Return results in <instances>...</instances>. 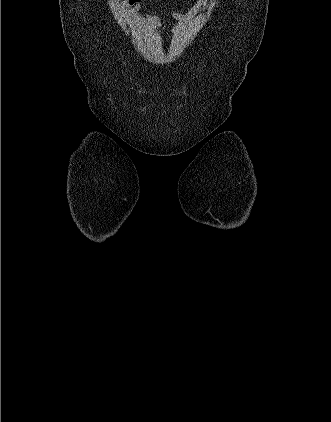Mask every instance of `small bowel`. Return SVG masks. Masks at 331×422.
Listing matches in <instances>:
<instances>
[{
	"instance_id": "c3829d8e",
	"label": "small bowel",
	"mask_w": 331,
	"mask_h": 422,
	"mask_svg": "<svg viewBox=\"0 0 331 422\" xmlns=\"http://www.w3.org/2000/svg\"><path fill=\"white\" fill-rule=\"evenodd\" d=\"M120 2L124 5L131 7L130 13H132V14H135V13H138L139 11H141L143 9L144 5H145L143 0H120ZM171 14L175 19H177L179 21H185L186 20V15L181 13V12L171 10ZM146 16H147L149 23L153 26V28H164L165 27V25L163 23H161L158 16L152 10H148L147 13H146Z\"/></svg>"
}]
</instances>
